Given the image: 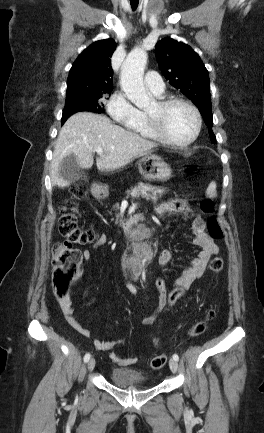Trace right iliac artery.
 Here are the masks:
<instances>
[{
  "mask_svg": "<svg viewBox=\"0 0 264 433\" xmlns=\"http://www.w3.org/2000/svg\"><path fill=\"white\" fill-rule=\"evenodd\" d=\"M89 359H90V354L87 353V354L84 356V362H88Z\"/></svg>",
  "mask_w": 264,
  "mask_h": 433,
  "instance_id": "obj_1",
  "label": "right iliac artery"
}]
</instances>
